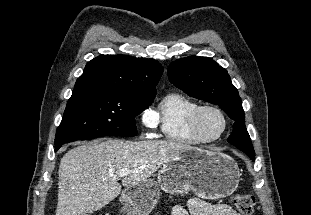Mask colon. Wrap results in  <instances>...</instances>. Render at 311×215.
Listing matches in <instances>:
<instances>
[{"mask_svg":"<svg viewBox=\"0 0 311 215\" xmlns=\"http://www.w3.org/2000/svg\"><path fill=\"white\" fill-rule=\"evenodd\" d=\"M232 202L240 215H251L255 207V197L249 193H235Z\"/></svg>","mask_w":311,"mask_h":215,"instance_id":"obj_1","label":"colon"}]
</instances>
